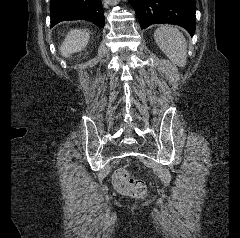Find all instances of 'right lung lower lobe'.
I'll use <instances>...</instances> for the list:
<instances>
[{
  "instance_id": "right-lung-lower-lobe-1",
  "label": "right lung lower lobe",
  "mask_w": 240,
  "mask_h": 238,
  "mask_svg": "<svg viewBox=\"0 0 240 238\" xmlns=\"http://www.w3.org/2000/svg\"><path fill=\"white\" fill-rule=\"evenodd\" d=\"M51 27L62 21L87 20L104 26V12L101 0H51Z\"/></svg>"
}]
</instances>
